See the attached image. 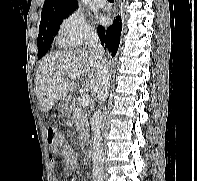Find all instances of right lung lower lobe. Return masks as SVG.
I'll use <instances>...</instances> for the list:
<instances>
[{"instance_id": "98d812e1", "label": "right lung lower lobe", "mask_w": 197, "mask_h": 181, "mask_svg": "<svg viewBox=\"0 0 197 181\" xmlns=\"http://www.w3.org/2000/svg\"><path fill=\"white\" fill-rule=\"evenodd\" d=\"M121 29L122 22L120 16H117L114 19L111 26L104 28L100 25L97 28L98 36L102 42V45L105 49H108L112 53V56H115L117 52L120 43Z\"/></svg>"}]
</instances>
